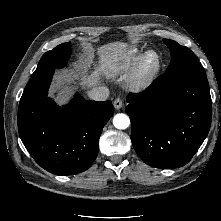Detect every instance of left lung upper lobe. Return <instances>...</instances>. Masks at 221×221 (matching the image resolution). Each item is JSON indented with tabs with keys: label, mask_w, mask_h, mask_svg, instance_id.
Segmentation results:
<instances>
[{
	"label": "left lung upper lobe",
	"mask_w": 221,
	"mask_h": 221,
	"mask_svg": "<svg viewBox=\"0 0 221 221\" xmlns=\"http://www.w3.org/2000/svg\"><path fill=\"white\" fill-rule=\"evenodd\" d=\"M163 41L168 46L171 53V63L166 71L172 70L176 66L185 62L198 61L195 54L189 48L181 46L172 40L164 39Z\"/></svg>",
	"instance_id": "left-lung-upper-lobe-1"
}]
</instances>
